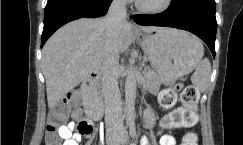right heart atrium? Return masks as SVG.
Here are the masks:
<instances>
[{
  "label": "right heart atrium",
  "mask_w": 243,
  "mask_h": 145,
  "mask_svg": "<svg viewBox=\"0 0 243 145\" xmlns=\"http://www.w3.org/2000/svg\"><path fill=\"white\" fill-rule=\"evenodd\" d=\"M119 1H121V2H128L129 0H119Z\"/></svg>",
  "instance_id": "d8ad5b80"
}]
</instances>
